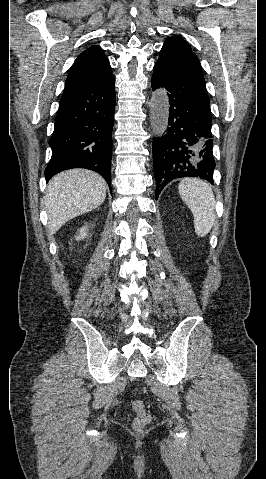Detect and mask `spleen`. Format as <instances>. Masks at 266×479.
<instances>
[{"label": "spleen", "instance_id": "obj_1", "mask_svg": "<svg viewBox=\"0 0 266 479\" xmlns=\"http://www.w3.org/2000/svg\"><path fill=\"white\" fill-rule=\"evenodd\" d=\"M179 194L194 217L197 236L205 237L214 225L215 197L211 186L198 178H185L179 183Z\"/></svg>", "mask_w": 266, "mask_h": 479}]
</instances>
